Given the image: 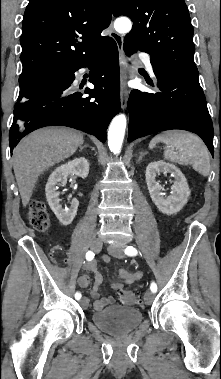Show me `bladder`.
<instances>
[{"instance_id": "obj_1", "label": "bladder", "mask_w": 221, "mask_h": 379, "mask_svg": "<svg viewBox=\"0 0 221 379\" xmlns=\"http://www.w3.org/2000/svg\"><path fill=\"white\" fill-rule=\"evenodd\" d=\"M142 319L140 310L119 305L104 308L91 315L92 322L100 330L116 337L127 335L135 330Z\"/></svg>"}]
</instances>
